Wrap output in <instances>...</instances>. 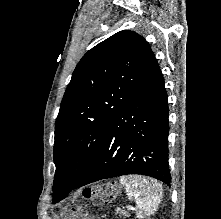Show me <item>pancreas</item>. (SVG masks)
Returning <instances> with one entry per match:
<instances>
[{
    "mask_svg": "<svg viewBox=\"0 0 221 219\" xmlns=\"http://www.w3.org/2000/svg\"><path fill=\"white\" fill-rule=\"evenodd\" d=\"M116 214H118L119 216H124V217H128L129 216L128 212L120 210V209L116 210Z\"/></svg>",
    "mask_w": 221,
    "mask_h": 219,
    "instance_id": "1",
    "label": "pancreas"
}]
</instances>
